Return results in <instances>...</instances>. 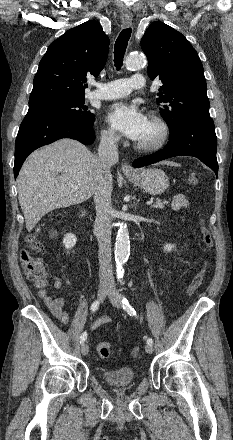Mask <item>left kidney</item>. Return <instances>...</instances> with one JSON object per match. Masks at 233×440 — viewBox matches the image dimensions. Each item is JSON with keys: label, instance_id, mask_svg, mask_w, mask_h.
Here are the masks:
<instances>
[{"label": "left kidney", "instance_id": "left-kidney-1", "mask_svg": "<svg viewBox=\"0 0 233 440\" xmlns=\"http://www.w3.org/2000/svg\"><path fill=\"white\" fill-rule=\"evenodd\" d=\"M174 248H175V245H172V244L164 245V251H166V252H170Z\"/></svg>", "mask_w": 233, "mask_h": 440}]
</instances>
